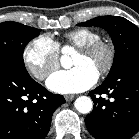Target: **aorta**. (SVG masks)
<instances>
[{
    "instance_id": "obj_1",
    "label": "aorta",
    "mask_w": 139,
    "mask_h": 139,
    "mask_svg": "<svg viewBox=\"0 0 139 139\" xmlns=\"http://www.w3.org/2000/svg\"><path fill=\"white\" fill-rule=\"evenodd\" d=\"M64 55L61 57V65L64 68H70L72 66V59L69 56L70 49L69 48H64L63 49ZM75 108L77 109L78 112L82 114H87L92 111L93 108V102L92 100L87 97V96H80L75 100Z\"/></svg>"
}]
</instances>
